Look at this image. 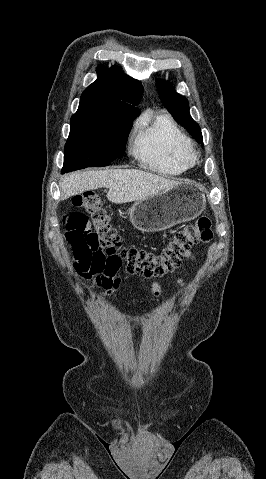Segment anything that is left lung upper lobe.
Masks as SVG:
<instances>
[{"mask_svg":"<svg viewBox=\"0 0 266 479\" xmlns=\"http://www.w3.org/2000/svg\"><path fill=\"white\" fill-rule=\"evenodd\" d=\"M157 89L164 106L174 119L184 125L190 135L201 143L203 141L201 129L189 114L187 99L178 94L166 81L158 80Z\"/></svg>","mask_w":266,"mask_h":479,"instance_id":"5c2ea615","label":"left lung upper lobe"}]
</instances>
